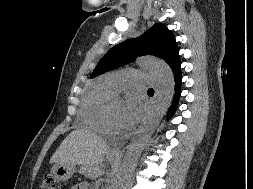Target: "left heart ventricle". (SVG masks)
I'll return each mask as SVG.
<instances>
[{"label":"left heart ventricle","instance_id":"left-heart-ventricle-1","mask_svg":"<svg viewBox=\"0 0 253 189\" xmlns=\"http://www.w3.org/2000/svg\"><path fill=\"white\" fill-rule=\"evenodd\" d=\"M122 106L120 104H115L110 106V112H111V117L112 121L115 127L118 129H124L121 124V113H122Z\"/></svg>","mask_w":253,"mask_h":189}]
</instances>
